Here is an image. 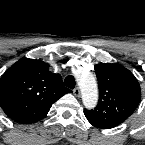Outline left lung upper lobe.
Here are the masks:
<instances>
[{
	"instance_id": "left-lung-upper-lobe-1",
	"label": "left lung upper lobe",
	"mask_w": 145,
	"mask_h": 145,
	"mask_svg": "<svg viewBox=\"0 0 145 145\" xmlns=\"http://www.w3.org/2000/svg\"><path fill=\"white\" fill-rule=\"evenodd\" d=\"M99 84V102L93 110H84L95 127L110 129L123 123L137 108L141 88L135 76L125 67L114 64L95 66Z\"/></svg>"
}]
</instances>
